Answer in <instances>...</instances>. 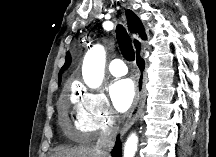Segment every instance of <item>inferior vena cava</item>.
<instances>
[{
	"label": "inferior vena cava",
	"instance_id": "inferior-vena-cava-1",
	"mask_svg": "<svg viewBox=\"0 0 216 157\" xmlns=\"http://www.w3.org/2000/svg\"><path fill=\"white\" fill-rule=\"evenodd\" d=\"M116 133L109 130H105L100 133L98 141L96 143V152L100 157H110V151L114 147Z\"/></svg>",
	"mask_w": 216,
	"mask_h": 157
}]
</instances>
